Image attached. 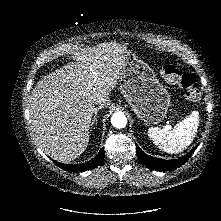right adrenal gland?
<instances>
[{
	"instance_id": "2a0ac1e0",
	"label": "right adrenal gland",
	"mask_w": 221,
	"mask_h": 221,
	"mask_svg": "<svg viewBox=\"0 0 221 221\" xmlns=\"http://www.w3.org/2000/svg\"><path fill=\"white\" fill-rule=\"evenodd\" d=\"M100 109H102V107H97V108H95V113H94V117H93L91 126L97 124V122H96V121H97V114H98V111H99Z\"/></svg>"
}]
</instances>
